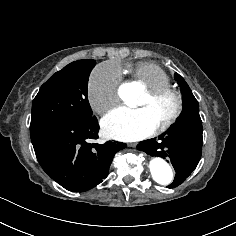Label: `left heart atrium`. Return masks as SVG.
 Segmentation results:
<instances>
[{"instance_id": "obj_1", "label": "left heart atrium", "mask_w": 236, "mask_h": 236, "mask_svg": "<svg viewBox=\"0 0 236 236\" xmlns=\"http://www.w3.org/2000/svg\"><path fill=\"white\" fill-rule=\"evenodd\" d=\"M101 128L109 138L137 141L153 132L154 125L147 110L118 107L105 114Z\"/></svg>"}]
</instances>
